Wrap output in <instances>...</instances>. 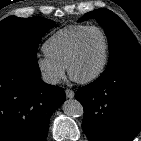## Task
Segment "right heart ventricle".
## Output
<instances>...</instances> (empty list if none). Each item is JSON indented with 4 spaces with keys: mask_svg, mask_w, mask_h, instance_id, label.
<instances>
[{
    "mask_svg": "<svg viewBox=\"0 0 141 141\" xmlns=\"http://www.w3.org/2000/svg\"><path fill=\"white\" fill-rule=\"evenodd\" d=\"M88 25H68L51 35L43 44L45 55L66 67L69 55L79 34Z\"/></svg>",
    "mask_w": 141,
    "mask_h": 141,
    "instance_id": "e07e8e85",
    "label": "right heart ventricle"
}]
</instances>
